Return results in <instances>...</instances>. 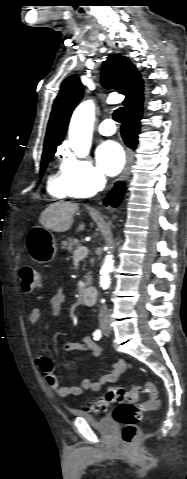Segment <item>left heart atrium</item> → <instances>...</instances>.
<instances>
[{"label":"left heart atrium","instance_id":"left-heart-atrium-1","mask_svg":"<svg viewBox=\"0 0 187 479\" xmlns=\"http://www.w3.org/2000/svg\"><path fill=\"white\" fill-rule=\"evenodd\" d=\"M96 158L103 171L109 176L117 175L125 163L123 149L114 141L103 142L97 148Z\"/></svg>","mask_w":187,"mask_h":479}]
</instances>
